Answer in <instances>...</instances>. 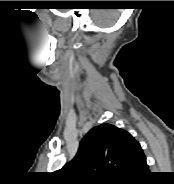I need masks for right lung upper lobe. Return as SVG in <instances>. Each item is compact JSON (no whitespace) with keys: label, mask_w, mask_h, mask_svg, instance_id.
Segmentation results:
<instances>
[{"label":"right lung upper lobe","mask_w":174,"mask_h":184,"mask_svg":"<svg viewBox=\"0 0 174 184\" xmlns=\"http://www.w3.org/2000/svg\"><path fill=\"white\" fill-rule=\"evenodd\" d=\"M144 157L140 144L130 133L101 124L84 136L75 158L57 174L67 182L117 183Z\"/></svg>","instance_id":"obj_1"}]
</instances>
